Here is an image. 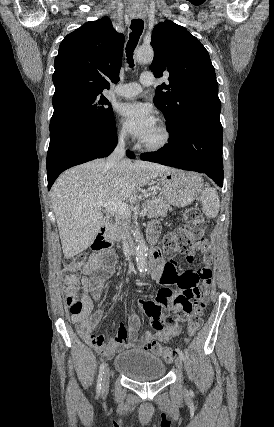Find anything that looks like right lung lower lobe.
Instances as JSON below:
<instances>
[{
  "label": "right lung lower lobe",
  "instance_id": "1",
  "mask_svg": "<svg viewBox=\"0 0 274 427\" xmlns=\"http://www.w3.org/2000/svg\"><path fill=\"white\" fill-rule=\"evenodd\" d=\"M117 144L114 119L103 124H73L65 126L50 139L47 153L48 190L64 170L108 156ZM129 158H134L130 151Z\"/></svg>",
  "mask_w": 274,
  "mask_h": 427
}]
</instances>
